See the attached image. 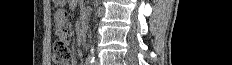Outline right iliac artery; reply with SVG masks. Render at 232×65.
<instances>
[{"mask_svg": "<svg viewBox=\"0 0 232 65\" xmlns=\"http://www.w3.org/2000/svg\"><path fill=\"white\" fill-rule=\"evenodd\" d=\"M94 58H92V57H89V58H87V60H86V65H93L94 64Z\"/></svg>", "mask_w": 232, "mask_h": 65, "instance_id": "right-iliac-artery-1", "label": "right iliac artery"}]
</instances>
